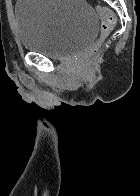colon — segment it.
Wrapping results in <instances>:
<instances>
[{"instance_id": "colon-1", "label": "colon", "mask_w": 140, "mask_h": 196, "mask_svg": "<svg viewBox=\"0 0 140 196\" xmlns=\"http://www.w3.org/2000/svg\"><path fill=\"white\" fill-rule=\"evenodd\" d=\"M96 11L101 22V35L94 47L86 54L85 58L83 59L81 63L82 71H87L94 64L105 38L113 29L117 20L115 13L109 8L98 5L96 6Z\"/></svg>"}]
</instances>
